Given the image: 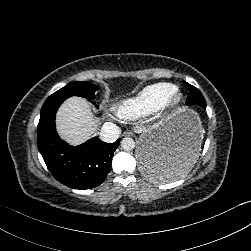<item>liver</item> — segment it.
I'll return each mask as SVG.
<instances>
[{
    "mask_svg": "<svg viewBox=\"0 0 251 251\" xmlns=\"http://www.w3.org/2000/svg\"><path fill=\"white\" fill-rule=\"evenodd\" d=\"M103 122L102 116H94L87 99L80 96L66 98L55 115V130L68 146L86 143L96 135ZM145 129L142 124L133 126L135 132Z\"/></svg>",
    "mask_w": 251,
    "mask_h": 251,
    "instance_id": "liver-1",
    "label": "liver"
}]
</instances>
